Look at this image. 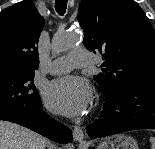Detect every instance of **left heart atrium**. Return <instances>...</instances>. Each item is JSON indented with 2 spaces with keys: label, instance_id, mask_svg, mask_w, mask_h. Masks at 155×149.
Here are the masks:
<instances>
[{
  "label": "left heart atrium",
  "instance_id": "left-heart-atrium-1",
  "mask_svg": "<svg viewBox=\"0 0 155 149\" xmlns=\"http://www.w3.org/2000/svg\"><path fill=\"white\" fill-rule=\"evenodd\" d=\"M89 83L77 76H65L47 84L44 101L49 110L68 117L86 112L92 104Z\"/></svg>",
  "mask_w": 155,
  "mask_h": 149
}]
</instances>
